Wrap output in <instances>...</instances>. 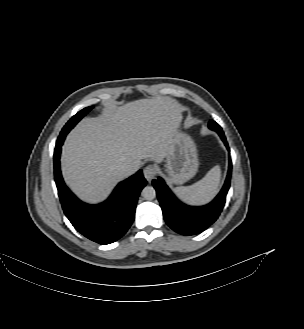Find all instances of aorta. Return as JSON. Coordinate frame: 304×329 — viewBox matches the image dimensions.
Returning <instances> with one entry per match:
<instances>
[{"instance_id":"1","label":"aorta","mask_w":304,"mask_h":329,"mask_svg":"<svg viewBox=\"0 0 304 329\" xmlns=\"http://www.w3.org/2000/svg\"><path fill=\"white\" fill-rule=\"evenodd\" d=\"M142 197L145 200H153L156 197V191L153 187L151 186H146L143 190H142Z\"/></svg>"}]
</instances>
